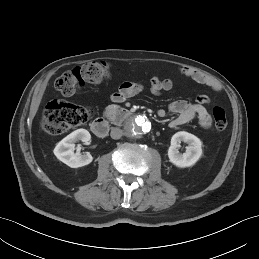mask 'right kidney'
Instances as JSON below:
<instances>
[{"mask_svg": "<svg viewBox=\"0 0 259 259\" xmlns=\"http://www.w3.org/2000/svg\"><path fill=\"white\" fill-rule=\"evenodd\" d=\"M91 139L86 129H77L62 139L54 148L55 156L71 168H78L92 162L91 154L74 153L75 143L82 141L87 143Z\"/></svg>", "mask_w": 259, "mask_h": 259, "instance_id": "obj_1", "label": "right kidney"}]
</instances>
